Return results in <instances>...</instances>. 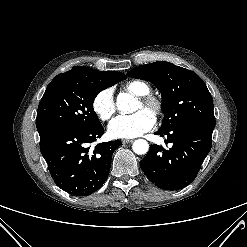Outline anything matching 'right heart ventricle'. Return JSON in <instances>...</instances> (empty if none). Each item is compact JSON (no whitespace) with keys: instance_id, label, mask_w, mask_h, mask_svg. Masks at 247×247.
Masks as SVG:
<instances>
[{"instance_id":"obj_1","label":"right heart ventricle","mask_w":247,"mask_h":247,"mask_svg":"<svg viewBox=\"0 0 247 247\" xmlns=\"http://www.w3.org/2000/svg\"><path fill=\"white\" fill-rule=\"evenodd\" d=\"M123 88L136 95L143 96L150 93V87L147 83L140 80H132L124 84Z\"/></svg>"}]
</instances>
